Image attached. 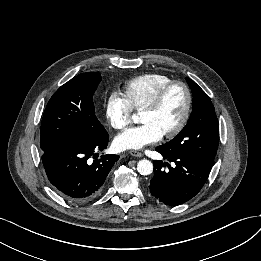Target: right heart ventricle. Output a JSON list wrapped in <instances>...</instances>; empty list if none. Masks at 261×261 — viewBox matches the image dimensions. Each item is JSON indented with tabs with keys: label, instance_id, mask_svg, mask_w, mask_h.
Wrapping results in <instances>:
<instances>
[{
	"label": "right heart ventricle",
	"instance_id": "right-heart-ventricle-1",
	"mask_svg": "<svg viewBox=\"0 0 261 261\" xmlns=\"http://www.w3.org/2000/svg\"><path fill=\"white\" fill-rule=\"evenodd\" d=\"M172 79L166 75L149 73L129 80L124 86V95L132 108L141 111L148 106L158 92Z\"/></svg>",
	"mask_w": 261,
	"mask_h": 261
}]
</instances>
